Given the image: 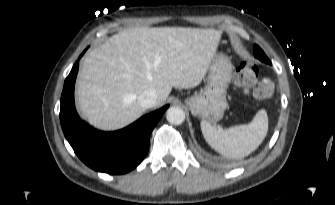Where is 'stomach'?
<instances>
[{
	"label": "stomach",
	"instance_id": "obj_1",
	"mask_svg": "<svg viewBox=\"0 0 335 205\" xmlns=\"http://www.w3.org/2000/svg\"><path fill=\"white\" fill-rule=\"evenodd\" d=\"M233 66L222 53L215 54L208 69L207 84L198 94L187 97L185 103L194 116L209 123L222 118L227 108V88L231 82Z\"/></svg>",
	"mask_w": 335,
	"mask_h": 205
}]
</instances>
